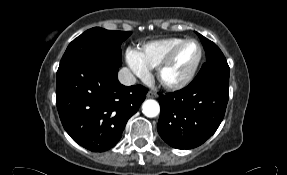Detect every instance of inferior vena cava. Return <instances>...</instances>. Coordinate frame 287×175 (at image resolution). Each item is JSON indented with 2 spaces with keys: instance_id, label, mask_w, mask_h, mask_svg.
Here are the masks:
<instances>
[{
  "instance_id": "inferior-vena-cava-1",
  "label": "inferior vena cava",
  "mask_w": 287,
  "mask_h": 175,
  "mask_svg": "<svg viewBox=\"0 0 287 175\" xmlns=\"http://www.w3.org/2000/svg\"><path fill=\"white\" fill-rule=\"evenodd\" d=\"M118 79L120 83L125 86L134 85L137 81L136 77L126 67L120 69V71L118 72Z\"/></svg>"
}]
</instances>
